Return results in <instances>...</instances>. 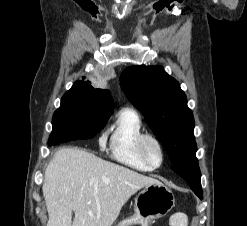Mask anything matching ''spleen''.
Listing matches in <instances>:
<instances>
[{"label":"spleen","mask_w":247,"mask_h":226,"mask_svg":"<svg viewBox=\"0 0 247 226\" xmlns=\"http://www.w3.org/2000/svg\"><path fill=\"white\" fill-rule=\"evenodd\" d=\"M170 226H187L188 217L184 213H175L169 219Z\"/></svg>","instance_id":"obj_1"}]
</instances>
